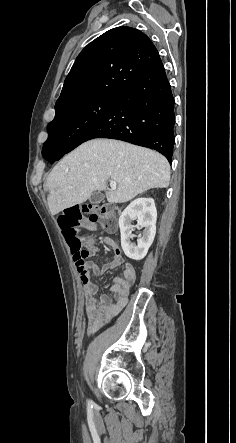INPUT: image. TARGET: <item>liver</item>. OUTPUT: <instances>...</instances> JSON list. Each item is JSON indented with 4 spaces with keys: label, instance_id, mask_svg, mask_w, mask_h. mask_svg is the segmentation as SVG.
<instances>
[{
    "label": "liver",
    "instance_id": "1",
    "mask_svg": "<svg viewBox=\"0 0 236 443\" xmlns=\"http://www.w3.org/2000/svg\"><path fill=\"white\" fill-rule=\"evenodd\" d=\"M117 188L107 190V181ZM170 181L167 159L153 150L112 139H94L66 155L48 175L47 203L52 215L105 191L109 203H124Z\"/></svg>",
    "mask_w": 236,
    "mask_h": 443
}]
</instances>
